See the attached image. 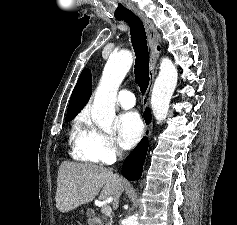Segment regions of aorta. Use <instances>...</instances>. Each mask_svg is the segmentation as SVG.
<instances>
[{
  "mask_svg": "<svg viewBox=\"0 0 237 225\" xmlns=\"http://www.w3.org/2000/svg\"><path fill=\"white\" fill-rule=\"evenodd\" d=\"M132 63V54L129 51H121L111 54L104 67L94 97L91 116L93 121L106 133H112L113 131L117 92ZM177 80V68L170 59L163 58L151 96L152 112L158 123H161L167 117ZM137 224V214L126 217L122 222V225Z\"/></svg>",
  "mask_w": 237,
  "mask_h": 225,
  "instance_id": "1",
  "label": "aorta"
}]
</instances>
